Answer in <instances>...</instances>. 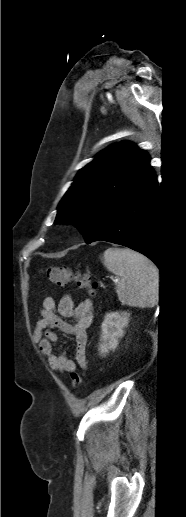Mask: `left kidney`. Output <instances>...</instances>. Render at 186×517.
Returning <instances> with one entry per match:
<instances>
[{"label": "left kidney", "mask_w": 186, "mask_h": 517, "mask_svg": "<svg viewBox=\"0 0 186 517\" xmlns=\"http://www.w3.org/2000/svg\"><path fill=\"white\" fill-rule=\"evenodd\" d=\"M130 314L127 312L107 313L101 325L100 354L105 356L109 350H115L119 338L124 335V328L128 326Z\"/></svg>", "instance_id": "left-kidney-1"}]
</instances>
